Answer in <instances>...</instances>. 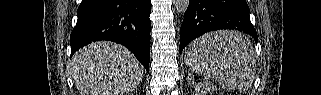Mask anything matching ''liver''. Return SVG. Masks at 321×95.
Masks as SVG:
<instances>
[{
  "instance_id": "liver-1",
  "label": "liver",
  "mask_w": 321,
  "mask_h": 95,
  "mask_svg": "<svg viewBox=\"0 0 321 95\" xmlns=\"http://www.w3.org/2000/svg\"><path fill=\"white\" fill-rule=\"evenodd\" d=\"M71 70L80 95H127L141 82L144 69L125 47L96 42L80 49Z\"/></svg>"
}]
</instances>
